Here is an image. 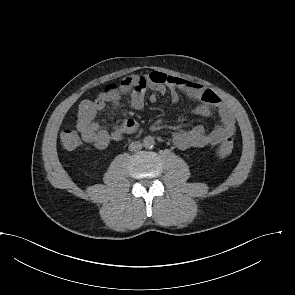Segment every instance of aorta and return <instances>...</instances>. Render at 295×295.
<instances>
[{
    "mask_svg": "<svg viewBox=\"0 0 295 295\" xmlns=\"http://www.w3.org/2000/svg\"><path fill=\"white\" fill-rule=\"evenodd\" d=\"M155 144L154 138L151 136H147L143 139V146L145 148H151Z\"/></svg>",
    "mask_w": 295,
    "mask_h": 295,
    "instance_id": "obj_1",
    "label": "aorta"
}]
</instances>
